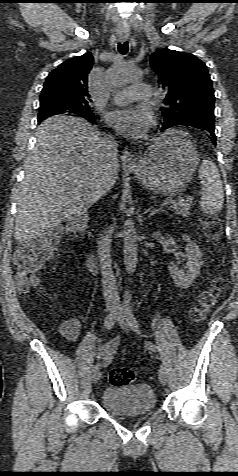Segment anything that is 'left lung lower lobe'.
<instances>
[{"instance_id": "left-lung-lower-lobe-1", "label": "left lung lower lobe", "mask_w": 238, "mask_h": 476, "mask_svg": "<svg viewBox=\"0 0 238 476\" xmlns=\"http://www.w3.org/2000/svg\"><path fill=\"white\" fill-rule=\"evenodd\" d=\"M175 125H190V126L203 127L211 134L210 139L212 140L213 144L216 145V136L214 134V128H215L214 121H210L208 119H200V120H193V121H189L185 123L171 124L168 126L162 125L161 131L167 128L173 127Z\"/></svg>"}]
</instances>
